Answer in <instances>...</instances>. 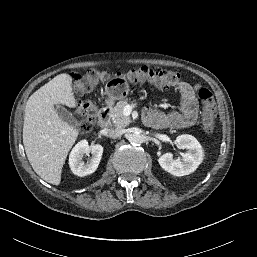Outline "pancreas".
Here are the masks:
<instances>
[{"instance_id":"pancreas-1","label":"pancreas","mask_w":257,"mask_h":257,"mask_svg":"<svg viewBox=\"0 0 257 257\" xmlns=\"http://www.w3.org/2000/svg\"><path fill=\"white\" fill-rule=\"evenodd\" d=\"M127 105H129L127 100H121L110 112L112 122L117 128H124L131 122L130 117L123 114V110Z\"/></svg>"}]
</instances>
